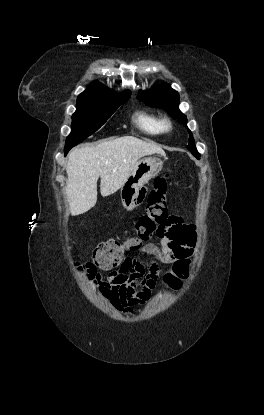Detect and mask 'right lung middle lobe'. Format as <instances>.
Instances as JSON below:
<instances>
[{
    "label": "right lung middle lobe",
    "mask_w": 264,
    "mask_h": 415,
    "mask_svg": "<svg viewBox=\"0 0 264 415\" xmlns=\"http://www.w3.org/2000/svg\"><path fill=\"white\" fill-rule=\"evenodd\" d=\"M129 97L77 99L76 112L72 115V131L67 137L65 151L97 131Z\"/></svg>",
    "instance_id": "1"
}]
</instances>
